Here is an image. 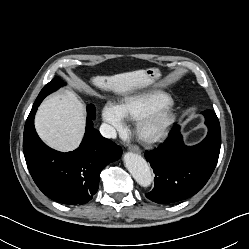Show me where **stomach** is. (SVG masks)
<instances>
[{"mask_svg":"<svg viewBox=\"0 0 249 249\" xmlns=\"http://www.w3.org/2000/svg\"><path fill=\"white\" fill-rule=\"evenodd\" d=\"M144 72L151 81L159 78L160 76V72L157 68H147L144 70Z\"/></svg>","mask_w":249,"mask_h":249,"instance_id":"0dacf381","label":"stomach"}]
</instances>
